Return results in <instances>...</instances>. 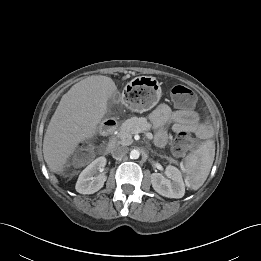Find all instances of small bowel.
Here are the masks:
<instances>
[{
    "mask_svg": "<svg viewBox=\"0 0 261 261\" xmlns=\"http://www.w3.org/2000/svg\"><path fill=\"white\" fill-rule=\"evenodd\" d=\"M154 129L157 130L155 143L163 147L167 144V125L175 133L187 132L195 134L197 137L207 139L212 136V127L209 123L201 122L194 110H175L167 104L158 105L149 116Z\"/></svg>",
    "mask_w": 261,
    "mask_h": 261,
    "instance_id": "1",
    "label": "small bowel"
}]
</instances>
